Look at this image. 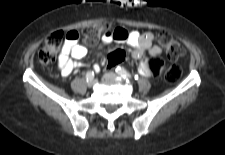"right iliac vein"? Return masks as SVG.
<instances>
[{
	"mask_svg": "<svg viewBox=\"0 0 225 155\" xmlns=\"http://www.w3.org/2000/svg\"><path fill=\"white\" fill-rule=\"evenodd\" d=\"M95 83H96V80L95 79H91V80L88 81V86L92 87V86L95 85Z\"/></svg>",
	"mask_w": 225,
	"mask_h": 155,
	"instance_id": "1",
	"label": "right iliac vein"
}]
</instances>
